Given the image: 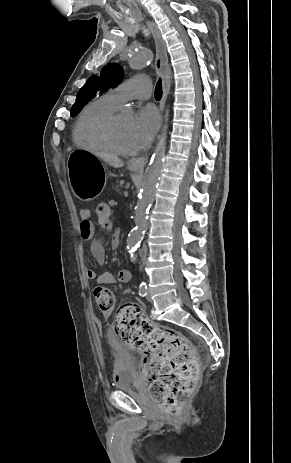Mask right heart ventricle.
Segmentation results:
<instances>
[{
	"label": "right heart ventricle",
	"instance_id": "e07e8e85",
	"mask_svg": "<svg viewBox=\"0 0 291 463\" xmlns=\"http://www.w3.org/2000/svg\"><path fill=\"white\" fill-rule=\"evenodd\" d=\"M110 93L88 103L79 113L73 126L74 143L91 151H105V146L95 134V127L119 108Z\"/></svg>",
	"mask_w": 291,
	"mask_h": 463
}]
</instances>
